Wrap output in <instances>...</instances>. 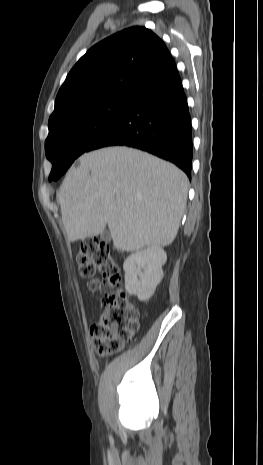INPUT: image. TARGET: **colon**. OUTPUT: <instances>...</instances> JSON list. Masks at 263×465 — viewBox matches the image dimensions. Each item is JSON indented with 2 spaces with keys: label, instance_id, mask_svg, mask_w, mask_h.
I'll list each match as a JSON object with an SVG mask.
<instances>
[{
  "label": "colon",
  "instance_id": "5ec220e1",
  "mask_svg": "<svg viewBox=\"0 0 263 465\" xmlns=\"http://www.w3.org/2000/svg\"><path fill=\"white\" fill-rule=\"evenodd\" d=\"M77 262L82 277L88 280L91 290L100 288L95 277L99 272L104 285L111 291L102 300L103 311L100 319L92 326L93 345L101 356L119 351L124 342L131 341L139 328L138 311L121 289L119 267L113 259L109 246L97 238L82 242Z\"/></svg>",
  "mask_w": 263,
  "mask_h": 465
}]
</instances>
